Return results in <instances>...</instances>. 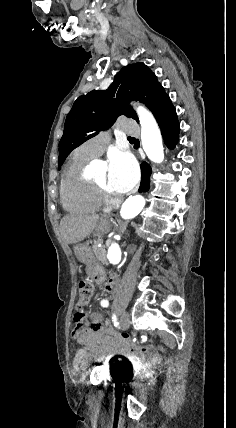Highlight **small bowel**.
<instances>
[{"instance_id":"1","label":"small bowel","mask_w":236,"mask_h":428,"mask_svg":"<svg viewBox=\"0 0 236 428\" xmlns=\"http://www.w3.org/2000/svg\"><path fill=\"white\" fill-rule=\"evenodd\" d=\"M117 278L110 276L105 283L106 292L113 294L117 291ZM100 318L102 316L98 315ZM72 338L83 347L76 350V361L102 359L109 355H120L129 358L137 364H154L160 361V355L155 347L131 341L124 335L112 332L102 324L99 327L83 326L80 332L72 331Z\"/></svg>"}]
</instances>
